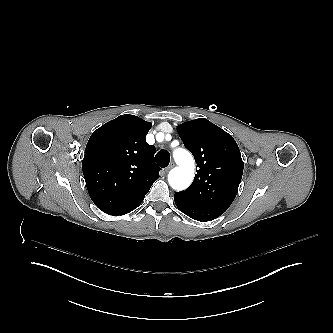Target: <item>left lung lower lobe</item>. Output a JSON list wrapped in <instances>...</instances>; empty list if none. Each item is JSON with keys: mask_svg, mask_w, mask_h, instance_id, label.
<instances>
[{"mask_svg": "<svg viewBox=\"0 0 333 333\" xmlns=\"http://www.w3.org/2000/svg\"><path fill=\"white\" fill-rule=\"evenodd\" d=\"M174 200L177 207L187 216L194 220L198 221H211L220 215H222L225 211L210 209L202 206H198L193 204L185 199H182L176 195H174Z\"/></svg>", "mask_w": 333, "mask_h": 333, "instance_id": "0a47b994", "label": "left lung lower lobe"}]
</instances>
